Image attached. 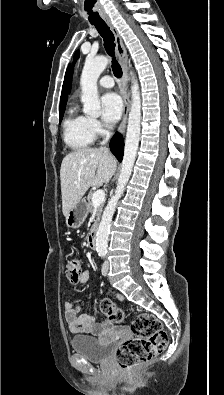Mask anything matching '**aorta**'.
<instances>
[{"label": "aorta", "mask_w": 224, "mask_h": 395, "mask_svg": "<svg viewBox=\"0 0 224 395\" xmlns=\"http://www.w3.org/2000/svg\"><path fill=\"white\" fill-rule=\"evenodd\" d=\"M109 63L105 56H99L85 61L80 85L83 112L91 117L100 114V101L98 97L97 80ZM141 97L137 79L132 77L131 107L128 117L127 132L124 146V156L121 164V172L118 178L114 195L110 198L96 235V249L99 253H105L108 247L110 224L115 212L118 200L125 191V187L132 173V168L137 155L141 131Z\"/></svg>", "instance_id": "1"}]
</instances>
